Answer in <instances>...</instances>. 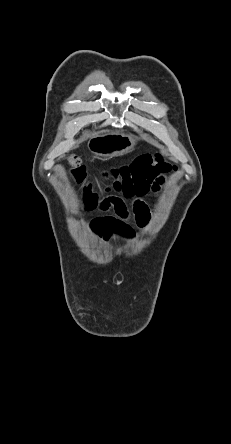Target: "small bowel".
I'll return each instance as SVG.
<instances>
[{
    "label": "small bowel",
    "mask_w": 231,
    "mask_h": 444,
    "mask_svg": "<svg viewBox=\"0 0 231 444\" xmlns=\"http://www.w3.org/2000/svg\"><path fill=\"white\" fill-rule=\"evenodd\" d=\"M157 180H154L150 183V188L156 184ZM97 199H90L86 203V207L88 209H93L98 207ZM100 208L103 211H107L112 209L114 211V215L101 216L96 218L92 222V227L104 237L109 236L114 233L118 236L122 237H131L133 235V228L129 223V218L131 216V212L127 207L126 203L118 197L110 198L104 201ZM133 215L136 223L143 227L146 226L149 221V211L146 205L141 202L139 208H133Z\"/></svg>",
    "instance_id": "small-bowel-1"
}]
</instances>
